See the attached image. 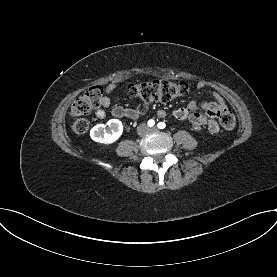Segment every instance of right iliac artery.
<instances>
[{
  "label": "right iliac artery",
  "instance_id": "obj_1",
  "mask_svg": "<svg viewBox=\"0 0 277 277\" xmlns=\"http://www.w3.org/2000/svg\"><path fill=\"white\" fill-rule=\"evenodd\" d=\"M155 124L154 120H149L148 121V126L152 127Z\"/></svg>",
  "mask_w": 277,
  "mask_h": 277
}]
</instances>
